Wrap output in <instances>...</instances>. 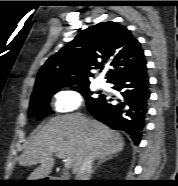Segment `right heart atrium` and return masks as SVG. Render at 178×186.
I'll return each instance as SVG.
<instances>
[{"mask_svg":"<svg viewBox=\"0 0 178 186\" xmlns=\"http://www.w3.org/2000/svg\"><path fill=\"white\" fill-rule=\"evenodd\" d=\"M83 103L82 94L73 88L63 89L54 95V109L57 114L70 113Z\"/></svg>","mask_w":178,"mask_h":186,"instance_id":"right-heart-atrium-1","label":"right heart atrium"}]
</instances>
